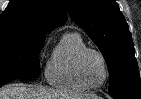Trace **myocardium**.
I'll list each match as a JSON object with an SVG mask.
<instances>
[{"label": "myocardium", "mask_w": 141, "mask_h": 99, "mask_svg": "<svg viewBox=\"0 0 141 99\" xmlns=\"http://www.w3.org/2000/svg\"><path fill=\"white\" fill-rule=\"evenodd\" d=\"M89 53H94L96 55H98L104 65V69H105V76L103 81L98 84V85H90L88 84L82 74V63L83 60L85 58V56ZM75 74L76 77L78 79V81L86 88V89H90V90H97L102 88L108 81L109 76H110V69H109V64H108V60L106 58V56L103 54L102 51L96 49V48H92V47H85L83 48L77 55L76 60H75Z\"/></svg>", "instance_id": "f54148a6"}]
</instances>
